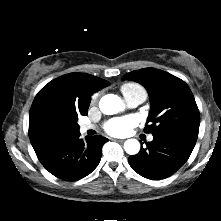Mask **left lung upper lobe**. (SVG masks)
I'll return each mask as SVG.
<instances>
[{"label": "left lung upper lobe", "mask_w": 221, "mask_h": 221, "mask_svg": "<svg viewBox=\"0 0 221 221\" xmlns=\"http://www.w3.org/2000/svg\"><path fill=\"white\" fill-rule=\"evenodd\" d=\"M122 79L141 83L149 93L151 110L149 125L144 128L146 133L178 132L197 140L200 114L183 80L155 68L132 71Z\"/></svg>", "instance_id": "obj_1"}]
</instances>
